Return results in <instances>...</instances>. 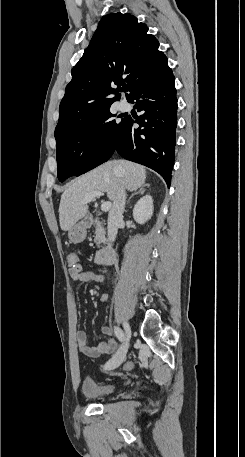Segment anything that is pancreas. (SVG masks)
<instances>
[{"label": "pancreas", "mask_w": 245, "mask_h": 457, "mask_svg": "<svg viewBox=\"0 0 245 457\" xmlns=\"http://www.w3.org/2000/svg\"><path fill=\"white\" fill-rule=\"evenodd\" d=\"M95 226V239L94 243H96V247H100L101 243H105V229L104 226H102L101 222L99 220H95L93 222Z\"/></svg>", "instance_id": "1"}]
</instances>
